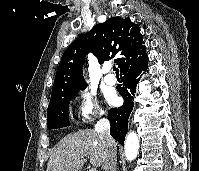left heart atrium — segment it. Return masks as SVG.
Masks as SVG:
<instances>
[{"mask_svg":"<svg viewBox=\"0 0 199 171\" xmlns=\"http://www.w3.org/2000/svg\"><path fill=\"white\" fill-rule=\"evenodd\" d=\"M107 100L110 104H115L117 102V97L115 94L112 93L108 95Z\"/></svg>","mask_w":199,"mask_h":171,"instance_id":"left-heart-atrium-1","label":"left heart atrium"}]
</instances>
